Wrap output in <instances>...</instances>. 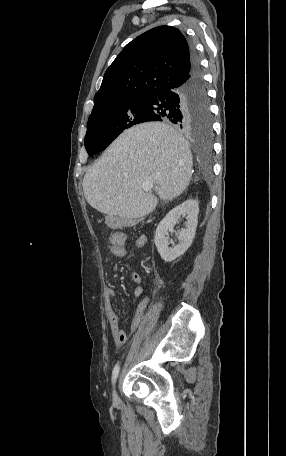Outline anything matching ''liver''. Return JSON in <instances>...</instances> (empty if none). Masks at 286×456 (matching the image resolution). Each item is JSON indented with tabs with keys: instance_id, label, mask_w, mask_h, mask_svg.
<instances>
[{
	"instance_id": "obj_1",
	"label": "liver",
	"mask_w": 286,
	"mask_h": 456,
	"mask_svg": "<svg viewBox=\"0 0 286 456\" xmlns=\"http://www.w3.org/2000/svg\"><path fill=\"white\" fill-rule=\"evenodd\" d=\"M193 158L188 143L174 127L148 122L124 131L90 167L83 179L87 202L96 210L127 220L143 217L158 199L142 189L152 181L162 200L187 188Z\"/></svg>"
}]
</instances>
